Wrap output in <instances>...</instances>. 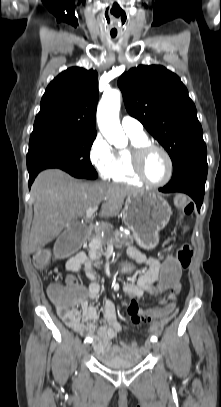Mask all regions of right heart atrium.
I'll return each instance as SVG.
<instances>
[{
  "mask_svg": "<svg viewBox=\"0 0 221 407\" xmlns=\"http://www.w3.org/2000/svg\"><path fill=\"white\" fill-rule=\"evenodd\" d=\"M89 157L101 178H111L115 167V151L102 135L98 134L93 140Z\"/></svg>",
  "mask_w": 221,
  "mask_h": 407,
  "instance_id": "right-heart-atrium-1",
  "label": "right heart atrium"
}]
</instances>
